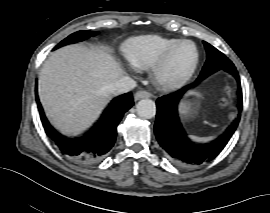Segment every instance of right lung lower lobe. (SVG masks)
Returning a JSON list of instances; mask_svg holds the SVG:
<instances>
[{"label": "right lung lower lobe", "instance_id": "right-lung-lower-lobe-1", "mask_svg": "<svg viewBox=\"0 0 270 213\" xmlns=\"http://www.w3.org/2000/svg\"><path fill=\"white\" fill-rule=\"evenodd\" d=\"M36 101L43 127L50 140L63 155L82 164L98 162L107 155L115 143L118 123L134 104L131 93L117 97L87 133L79 138L68 139L61 136L49 124L39 102L37 88Z\"/></svg>", "mask_w": 270, "mask_h": 213}]
</instances>
